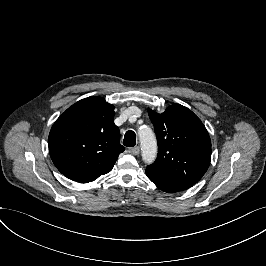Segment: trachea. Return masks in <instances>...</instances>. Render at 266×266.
Wrapping results in <instances>:
<instances>
[{
	"mask_svg": "<svg viewBox=\"0 0 266 266\" xmlns=\"http://www.w3.org/2000/svg\"><path fill=\"white\" fill-rule=\"evenodd\" d=\"M124 146L127 147H133L136 144V135L133 131H127L124 140H123Z\"/></svg>",
	"mask_w": 266,
	"mask_h": 266,
	"instance_id": "obj_1",
	"label": "trachea"
}]
</instances>
